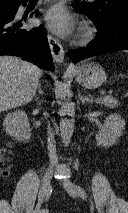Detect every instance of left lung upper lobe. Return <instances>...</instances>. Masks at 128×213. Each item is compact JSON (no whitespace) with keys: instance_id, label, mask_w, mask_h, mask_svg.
<instances>
[{"instance_id":"1","label":"left lung upper lobe","mask_w":128,"mask_h":213,"mask_svg":"<svg viewBox=\"0 0 128 213\" xmlns=\"http://www.w3.org/2000/svg\"><path fill=\"white\" fill-rule=\"evenodd\" d=\"M73 4L88 13L99 25L105 24L120 13L128 12V0H95Z\"/></svg>"}]
</instances>
